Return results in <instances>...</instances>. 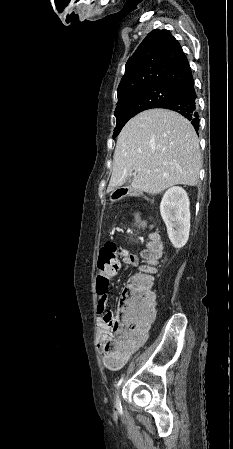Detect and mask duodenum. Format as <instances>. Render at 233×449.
<instances>
[{"label":"duodenum","mask_w":233,"mask_h":449,"mask_svg":"<svg viewBox=\"0 0 233 449\" xmlns=\"http://www.w3.org/2000/svg\"><path fill=\"white\" fill-rule=\"evenodd\" d=\"M121 191H122V192L119 191V192H117L116 195H115L116 198L119 199V200L123 198V196H124L123 194H125V195L128 194L130 190H129L128 187L125 186V187L122 188Z\"/></svg>","instance_id":"410a0bca"}]
</instances>
